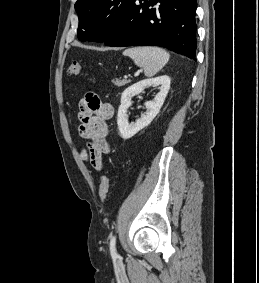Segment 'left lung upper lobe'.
<instances>
[{
  "mask_svg": "<svg viewBox=\"0 0 259 283\" xmlns=\"http://www.w3.org/2000/svg\"><path fill=\"white\" fill-rule=\"evenodd\" d=\"M133 0H77L78 39L105 42L122 23Z\"/></svg>",
  "mask_w": 259,
  "mask_h": 283,
  "instance_id": "obj_1",
  "label": "left lung upper lobe"
}]
</instances>
